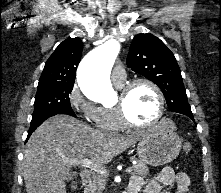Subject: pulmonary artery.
Wrapping results in <instances>:
<instances>
[{"mask_svg": "<svg viewBox=\"0 0 221 193\" xmlns=\"http://www.w3.org/2000/svg\"><path fill=\"white\" fill-rule=\"evenodd\" d=\"M111 80L116 86H121L126 80L124 67L116 66L111 73Z\"/></svg>", "mask_w": 221, "mask_h": 193, "instance_id": "e3ab8cb5", "label": "pulmonary artery"}]
</instances>
